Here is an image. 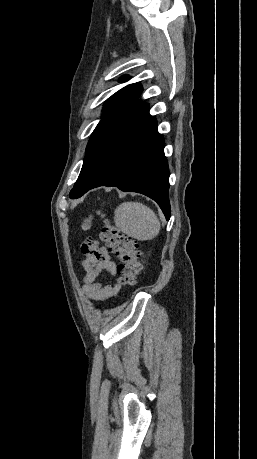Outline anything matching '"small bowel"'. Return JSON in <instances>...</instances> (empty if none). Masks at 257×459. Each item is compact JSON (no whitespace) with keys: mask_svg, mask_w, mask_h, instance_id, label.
Returning a JSON list of instances; mask_svg holds the SVG:
<instances>
[{"mask_svg":"<svg viewBox=\"0 0 257 459\" xmlns=\"http://www.w3.org/2000/svg\"><path fill=\"white\" fill-rule=\"evenodd\" d=\"M84 259L81 262L83 269V292L92 300L104 301L115 297L121 285L115 282H104L105 275L116 273V262L105 248L97 243H85L81 247Z\"/></svg>","mask_w":257,"mask_h":459,"instance_id":"obj_1","label":"small bowel"}]
</instances>
